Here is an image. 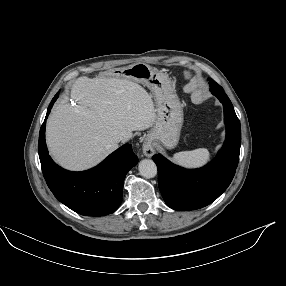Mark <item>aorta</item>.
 Returning <instances> with one entry per match:
<instances>
[{
    "label": "aorta",
    "instance_id": "aorta-1",
    "mask_svg": "<svg viewBox=\"0 0 286 286\" xmlns=\"http://www.w3.org/2000/svg\"><path fill=\"white\" fill-rule=\"evenodd\" d=\"M139 173L146 178H153L157 175L156 164L150 159H143L139 163Z\"/></svg>",
    "mask_w": 286,
    "mask_h": 286
}]
</instances>
